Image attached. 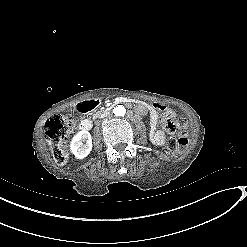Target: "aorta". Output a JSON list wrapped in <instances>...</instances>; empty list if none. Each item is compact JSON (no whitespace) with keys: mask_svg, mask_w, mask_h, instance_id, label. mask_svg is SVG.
I'll return each instance as SVG.
<instances>
[{"mask_svg":"<svg viewBox=\"0 0 247 247\" xmlns=\"http://www.w3.org/2000/svg\"><path fill=\"white\" fill-rule=\"evenodd\" d=\"M113 113H114L116 116H123V115H125V113H126V109H125L124 106L118 105V106H116V107L114 108Z\"/></svg>","mask_w":247,"mask_h":247,"instance_id":"1","label":"aorta"}]
</instances>
